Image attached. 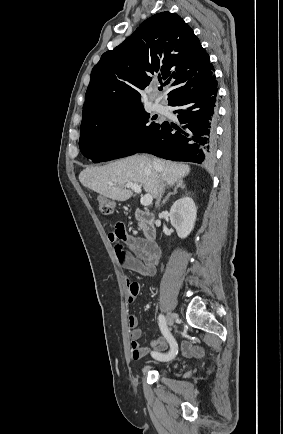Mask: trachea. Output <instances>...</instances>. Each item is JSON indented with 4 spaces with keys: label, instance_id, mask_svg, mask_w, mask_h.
Instances as JSON below:
<instances>
[{
    "label": "trachea",
    "instance_id": "trachea-1",
    "mask_svg": "<svg viewBox=\"0 0 283 434\" xmlns=\"http://www.w3.org/2000/svg\"><path fill=\"white\" fill-rule=\"evenodd\" d=\"M162 89H163L162 87L159 88V90H162Z\"/></svg>",
    "mask_w": 283,
    "mask_h": 434
}]
</instances>
